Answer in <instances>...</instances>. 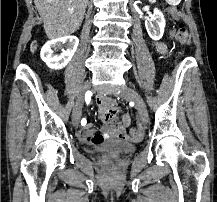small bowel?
I'll use <instances>...</instances> for the list:
<instances>
[{
	"mask_svg": "<svg viewBox=\"0 0 217 202\" xmlns=\"http://www.w3.org/2000/svg\"><path fill=\"white\" fill-rule=\"evenodd\" d=\"M156 51L162 55L167 54V47L163 43H155ZM96 109H100L101 115L98 121H105L104 132L97 133L92 124L88 123L84 130L79 128L76 132L78 139L84 143L100 144L108 139L138 141L142 137V131H131V113L126 111L122 114L119 122L118 112L119 105L116 101H95Z\"/></svg>",
	"mask_w": 217,
	"mask_h": 202,
	"instance_id": "obj_1",
	"label": "small bowel"
}]
</instances>
